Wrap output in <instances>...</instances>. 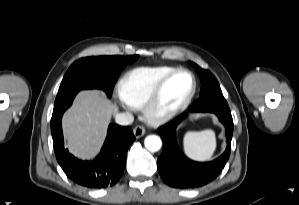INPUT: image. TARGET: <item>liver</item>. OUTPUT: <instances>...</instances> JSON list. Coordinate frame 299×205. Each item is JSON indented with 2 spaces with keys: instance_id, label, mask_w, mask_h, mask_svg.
I'll list each match as a JSON object with an SVG mask.
<instances>
[{
  "instance_id": "6515ba94",
  "label": "liver",
  "mask_w": 299,
  "mask_h": 205,
  "mask_svg": "<svg viewBox=\"0 0 299 205\" xmlns=\"http://www.w3.org/2000/svg\"><path fill=\"white\" fill-rule=\"evenodd\" d=\"M118 107L99 90L80 92L62 121L67 147L77 157H94L105 138L107 123Z\"/></svg>"
}]
</instances>
